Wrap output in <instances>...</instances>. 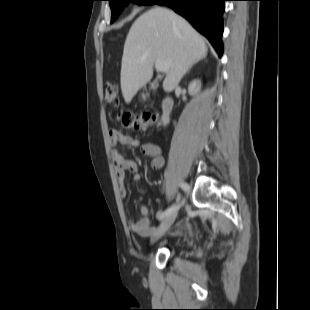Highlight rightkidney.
<instances>
[{"label":"right kidney","instance_id":"right-kidney-1","mask_svg":"<svg viewBox=\"0 0 310 310\" xmlns=\"http://www.w3.org/2000/svg\"><path fill=\"white\" fill-rule=\"evenodd\" d=\"M200 83L197 80H194L190 83L188 91L190 95L195 94L199 90Z\"/></svg>","mask_w":310,"mask_h":310}]
</instances>
